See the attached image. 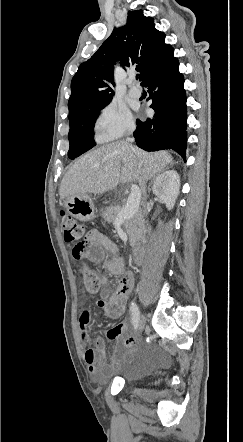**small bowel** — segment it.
I'll list each match as a JSON object with an SVG mask.
<instances>
[{
    "label": "small bowel",
    "instance_id": "small-bowel-1",
    "mask_svg": "<svg viewBox=\"0 0 243 442\" xmlns=\"http://www.w3.org/2000/svg\"><path fill=\"white\" fill-rule=\"evenodd\" d=\"M88 246L83 257L102 265L110 274L120 276L118 286L114 289L107 287V278H102L103 288L99 291L100 299L96 305L103 315L109 319H119L125 311V300L131 292L134 284L133 275L125 271L123 257L119 255L116 244L98 229H91L86 234ZM74 256V254H73ZM91 320V307L83 306L79 311V327L84 350V361L87 364L89 373L96 381H104L114 372L116 365L127 356L125 349L131 348L134 339L125 336L127 321L123 320L106 332V339L115 342L111 361L108 362L105 354V340L103 337L93 338L88 325Z\"/></svg>",
    "mask_w": 243,
    "mask_h": 442
}]
</instances>
